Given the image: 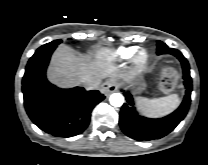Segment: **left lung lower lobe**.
<instances>
[{"mask_svg":"<svg viewBox=\"0 0 208 165\" xmlns=\"http://www.w3.org/2000/svg\"><path fill=\"white\" fill-rule=\"evenodd\" d=\"M160 54H171L180 60L186 94L179 108L172 114L159 119H150L138 115L132 95L122 90L127 102L121 108L119 124L127 136L138 141L159 139L170 133L185 118L190 106L192 79L187 59L176 49L167 48Z\"/></svg>","mask_w":208,"mask_h":165,"instance_id":"left-lung-lower-lobe-1","label":"left lung lower lobe"}]
</instances>
